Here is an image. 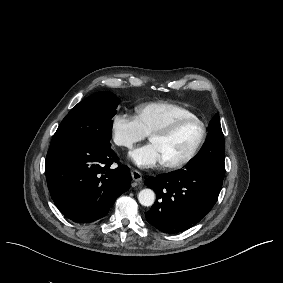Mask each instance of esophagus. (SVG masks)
Returning a JSON list of instances; mask_svg holds the SVG:
<instances>
[{
	"instance_id": "34e87169",
	"label": "esophagus",
	"mask_w": 283,
	"mask_h": 283,
	"mask_svg": "<svg viewBox=\"0 0 283 283\" xmlns=\"http://www.w3.org/2000/svg\"><path fill=\"white\" fill-rule=\"evenodd\" d=\"M131 177L136 182H140L142 180V174L135 169L131 171Z\"/></svg>"
}]
</instances>
